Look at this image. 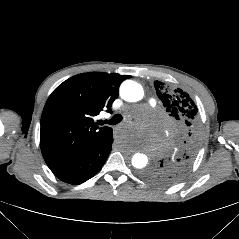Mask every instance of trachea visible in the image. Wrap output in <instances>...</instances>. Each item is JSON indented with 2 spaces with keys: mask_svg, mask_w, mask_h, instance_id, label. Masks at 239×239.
<instances>
[{
  "mask_svg": "<svg viewBox=\"0 0 239 239\" xmlns=\"http://www.w3.org/2000/svg\"><path fill=\"white\" fill-rule=\"evenodd\" d=\"M121 120H122V116L119 115V114H116L110 120L100 121V124L103 125V124L106 123V124H109V125H116L119 122H121Z\"/></svg>",
  "mask_w": 239,
  "mask_h": 239,
  "instance_id": "obj_1",
  "label": "trachea"
}]
</instances>
